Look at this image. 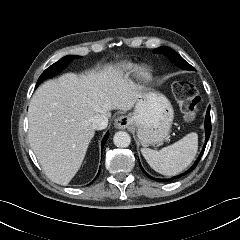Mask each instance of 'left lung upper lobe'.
Here are the masks:
<instances>
[{
    "label": "left lung upper lobe",
    "mask_w": 240,
    "mask_h": 240,
    "mask_svg": "<svg viewBox=\"0 0 240 240\" xmlns=\"http://www.w3.org/2000/svg\"><path fill=\"white\" fill-rule=\"evenodd\" d=\"M155 54H164L171 61H173L177 66L186 69V70H195L189 63H187L178 53H176L173 49L162 46L153 50Z\"/></svg>",
    "instance_id": "1"
}]
</instances>
